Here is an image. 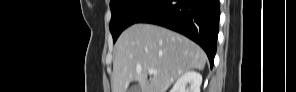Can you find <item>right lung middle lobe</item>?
<instances>
[{
	"label": "right lung middle lobe",
	"mask_w": 296,
	"mask_h": 92,
	"mask_svg": "<svg viewBox=\"0 0 296 92\" xmlns=\"http://www.w3.org/2000/svg\"><path fill=\"white\" fill-rule=\"evenodd\" d=\"M158 0H111L112 18L109 24L115 42L121 32L134 24L149 11Z\"/></svg>",
	"instance_id": "dd1d6c3e"
}]
</instances>
